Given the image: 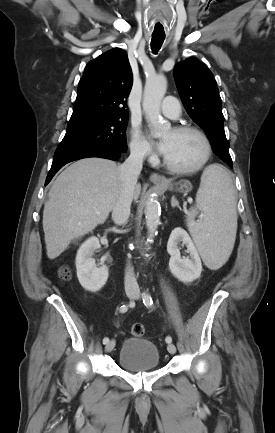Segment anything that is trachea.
Masks as SVG:
<instances>
[{"mask_svg":"<svg viewBox=\"0 0 275 433\" xmlns=\"http://www.w3.org/2000/svg\"><path fill=\"white\" fill-rule=\"evenodd\" d=\"M165 39V36L163 35H152L151 39V49L153 53H157L159 49L161 48L163 41Z\"/></svg>","mask_w":275,"mask_h":433,"instance_id":"trachea-1","label":"trachea"}]
</instances>
